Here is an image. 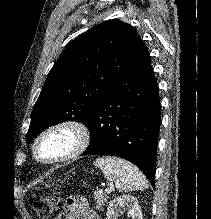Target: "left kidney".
Returning <instances> with one entry per match:
<instances>
[{
	"mask_svg": "<svg viewBox=\"0 0 211 219\" xmlns=\"http://www.w3.org/2000/svg\"><path fill=\"white\" fill-rule=\"evenodd\" d=\"M126 210L132 219H143L138 200L130 195H123L112 200L107 208L106 219H117Z\"/></svg>",
	"mask_w": 211,
	"mask_h": 219,
	"instance_id": "obj_1",
	"label": "left kidney"
}]
</instances>
